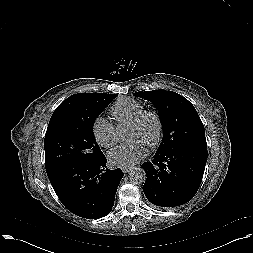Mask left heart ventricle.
Masks as SVG:
<instances>
[{
  "instance_id": "left-heart-ventricle-1",
  "label": "left heart ventricle",
  "mask_w": 253,
  "mask_h": 253,
  "mask_svg": "<svg viewBox=\"0 0 253 253\" xmlns=\"http://www.w3.org/2000/svg\"><path fill=\"white\" fill-rule=\"evenodd\" d=\"M157 125L153 118L149 117L143 121L139 127H128L127 138L138 139L146 146L151 143L155 137Z\"/></svg>"
}]
</instances>
